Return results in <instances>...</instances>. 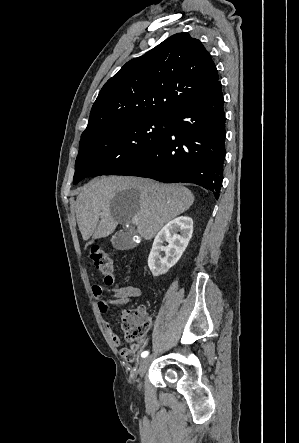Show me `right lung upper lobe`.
Segmentation results:
<instances>
[{"label": "right lung upper lobe", "instance_id": "right-lung-upper-lobe-1", "mask_svg": "<svg viewBox=\"0 0 299 443\" xmlns=\"http://www.w3.org/2000/svg\"><path fill=\"white\" fill-rule=\"evenodd\" d=\"M218 80L216 66L199 40L184 32L172 35L127 62L105 83L81 138L124 121L168 116Z\"/></svg>", "mask_w": 299, "mask_h": 443}]
</instances>
